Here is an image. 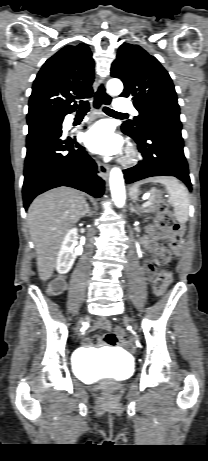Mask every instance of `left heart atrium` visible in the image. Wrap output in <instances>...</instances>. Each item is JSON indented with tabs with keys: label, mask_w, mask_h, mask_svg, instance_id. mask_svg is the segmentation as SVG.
<instances>
[{
	"label": "left heart atrium",
	"mask_w": 208,
	"mask_h": 461,
	"mask_svg": "<svg viewBox=\"0 0 208 461\" xmlns=\"http://www.w3.org/2000/svg\"><path fill=\"white\" fill-rule=\"evenodd\" d=\"M84 142L93 153L113 155L120 151L122 140L105 122L94 125L84 137Z\"/></svg>",
	"instance_id": "39dd6f15"
}]
</instances>
